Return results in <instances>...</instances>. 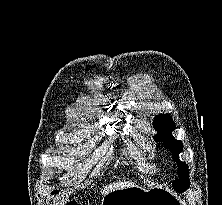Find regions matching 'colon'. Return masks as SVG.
Instances as JSON below:
<instances>
[{"instance_id": "colon-1", "label": "colon", "mask_w": 222, "mask_h": 205, "mask_svg": "<svg viewBox=\"0 0 222 205\" xmlns=\"http://www.w3.org/2000/svg\"><path fill=\"white\" fill-rule=\"evenodd\" d=\"M65 205H76V204L73 203V202H68V203H66Z\"/></svg>"}]
</instances>
